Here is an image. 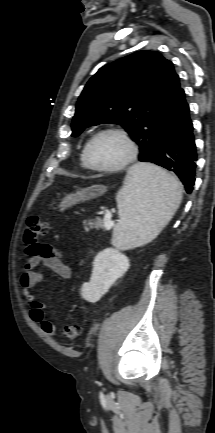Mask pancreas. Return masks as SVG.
<instances>
[{
  "instance_id": "cf45deb5",
  "label": "pancreas",
  "mask_w": 215,
  "mask_h": 433,
  "mask_svg": "<svg viewBox=\"0 0 215 433\" xmlns=\"http://www.w3.org/2000/svg\"><path fill=\"white\" fill-rule=\"evenodd\" d=\"M98 229V228H105L104 227V220L97 219L96 221H89L87 223H84V231L89 232L91 229Z\"/></svg>"
}]
</instances>
